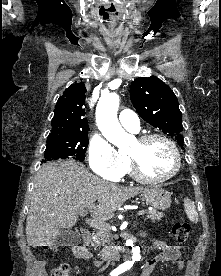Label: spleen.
<instances>
[{"instance_id": "3e777b00", "label": "spleen", "mask_w": 221, "mask_h": 276, "mask_svg": "<svg viewBox=\"0 0 221 276\" xmlns=\"http://www.w3.org/2000/svg\"><path fill=\"white\" fill-rule=\"evenodd\" d=\"M184 209H185L188 219L193 223H197L199 217H198V213L195 208V204L191 199L185 198Z\"/></svg>"}]
</instances>
